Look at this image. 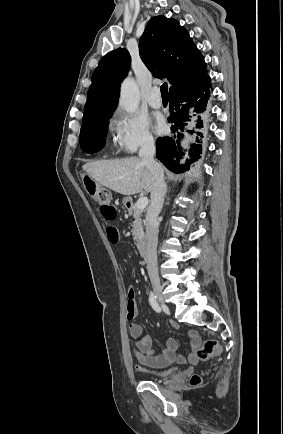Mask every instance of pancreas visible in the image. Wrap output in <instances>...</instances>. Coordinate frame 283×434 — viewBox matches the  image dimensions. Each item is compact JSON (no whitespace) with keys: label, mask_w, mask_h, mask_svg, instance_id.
Here are the masks:
<instances>
[{"label":"pancreas","mask_w":283,"mask_h":434,"mask_svg":"<svg viewBox=\"0 0 283 434\" xmlns=\"http://www.w3.org/2000/svg\"><path fill=\"white\" fill-rule=\"evenodd\" d=\"M128 212L130 215H133V218L135 219L132 224L133 239L136 243H139L144 238L143 220L141 218L142 210L133 206L128 209Z\"/></svg>","instance_id":"pancreas-1"}]
</instances>
